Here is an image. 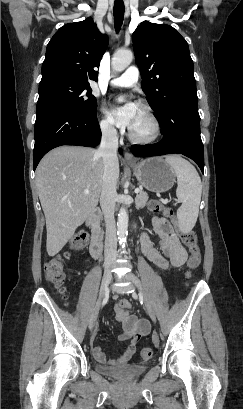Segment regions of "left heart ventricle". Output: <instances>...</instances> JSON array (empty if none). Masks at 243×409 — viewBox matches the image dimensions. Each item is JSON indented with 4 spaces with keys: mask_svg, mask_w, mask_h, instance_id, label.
I'll list each match as a JSON object with an SVG mask.
<instances>
[{
    "mask_svg": "<svg viewBox=\"0 0 243 409\" xmlns=\"http://www.w3.org/2000/svg\"><path fill=\"white\" fill-rule=\"evenodd\" d=\"M130 130L138 136H148L151 133V123L143 108L137 106L136 115Z\"/></svg>",
    "mask_w": 243,
    "mask_h": 409,
    "instance_id": "b2bd125f",
    "label": "left heart ventricle"
}]
</instances>
